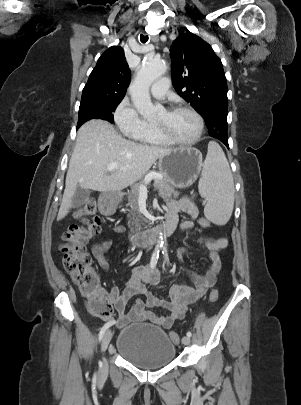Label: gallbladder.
<instances>
[{"label":"gallbladder","instance_id":"obj_1","mask_svg":"<svg viewBox=\"0 0 301 405\" xmlns=\"http://www.w3.org/2000/svg\"><path fill=\"white\" fill-rule=\"evenodd\" d=\"M90 190L77 187L75 194L72 198L71 208H79L86 203L89 199Z\"/></svg>","mask_w":301,"mask_h":405}]
</instances>
